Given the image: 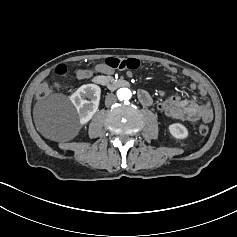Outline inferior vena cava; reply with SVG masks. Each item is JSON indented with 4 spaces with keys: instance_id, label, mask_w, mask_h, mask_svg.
I'll use <instances>...</instances> for the list:
<instances>
[{
    "instance_id": "602c4592",
    "label": "inferior vena cava",
    "mask_w": 237,
    "mask_h": 237,
    "mask_svg": "<svg viewBox=\"0 0 237 237\" xmlns=\"http://www.w3.org/2000/svg\"><path fill=\"white\" fill-rule=\"evenodd\" d=\"M117 101V97L114 94H108L105 99L106 106H110Z\"/></svg>"
}]
</instances>
